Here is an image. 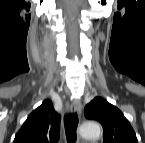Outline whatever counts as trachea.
<instances>
[{
  "instance_id": "trachea-1",
  "label": "trachea",
  "mask_w": 145,
  "mask_h": 143,
  "mask_svg": "<svg viewBox=\"0 0 145 143\" xmlns=\"http://www.w3.org/2000/svg\"><path fill=\"white\" fill-rule=\"evenodd\" d=\"M78 126V116L75 114L73 119L65 120V131L68 143L76 142V129Z\"/></svg>"
}]
</instances>
